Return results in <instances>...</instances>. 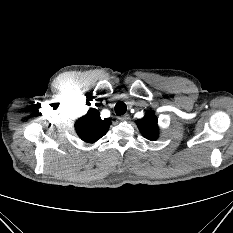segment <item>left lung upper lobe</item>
Instances as JSON below:
<instances>
[{
  "instance_id": "left-lung-upper-lobe-1",
  "label": "left lung upper lobe",
  "mask_w": 233,
  "mask_h": 233,
  "mask_svg": "<svg viewBox=\"0 0 233 233\" xmlns=\"http://www.w3.org/2000/svg\"><path fill=\"white\" fill-rule=\"evenodd\" d=\"M141 134L148 140H156L158 138L157 118L153 112L145 114L144 118L136 121Z\"/></svg>"
}]
</instances>
